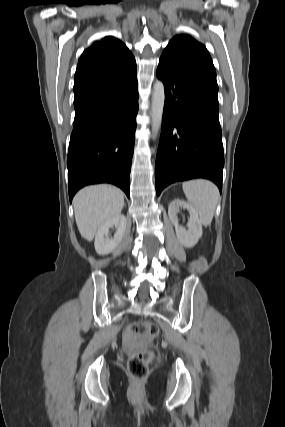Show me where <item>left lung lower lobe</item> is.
<instances>
[{"label": "left lung lower lobe", "instance_id": "0a47b994", "mask_svg": "<svg viewBox=\"0 0 285 427\" xmlns=\"http://www.w3.org/2000/svg\"><path fill=\"white\" fill-rule=\"evenodd\" d=\"M165 87L162 129L155 164L156 193L193 178L215 182L221 192L224 167L217 91L159 60Z\"/></svg>", "mask_w": 285, "mask_h": 427}]
</instances>
